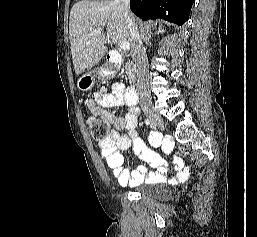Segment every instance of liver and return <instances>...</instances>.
<instances>
[{"label":"liver","instance_id":"obj_1","mask_svg":"<svg viewBox=\"0 0 257 237\" xmlns=\"http://www.w3.org/2000/svg\"><path fill=\"white\" fill-rule=\"evenodd\" d=\"M135 20V18L132 16ZM97 29L99 34L92 35ZM69 35L75 73L96 65L107 52V43H131L122 8L113 1H79L70 11ZM132 44V43H131Z\"/></svg>","mask_w":257,"mask_h":237}]
</instances>
